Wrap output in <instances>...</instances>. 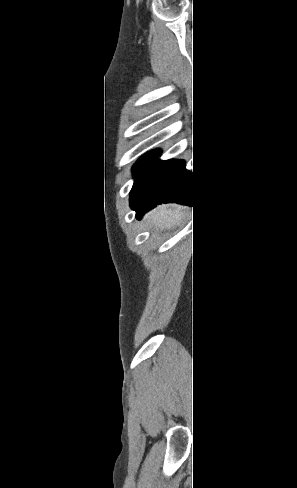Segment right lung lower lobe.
<instances>
[{"instance_id":"obj_1","label":"right lung lower lobe","mask_w":297,"mask_h":488,"mask_svg":"<svg viewBox=\"0 0 297 488\" xmlns=\"http://www.w3.org/2000/svg\"><path fill=\"white\" fill-rule=\"evenodd\" d=\"M195 185L183 160H156L130 194V207L139 219L157 204L177 202L192 206Z\"/></svg>"}]
</instances>
